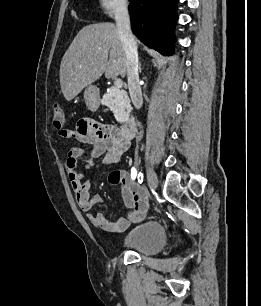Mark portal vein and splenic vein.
<instances>
[{"label": "portal vein and splenic vein", "instance_id": "portal-vein-and-splenic-vein-1", "mask_svg": "<svg viewBox=\"0 0 261 306\" xmlns=\"http://www.w3.org/2000/svg\"><path fill=\"white\" fill-rule=\"evenodd\" d=\"M123 86V81L121 79H115L114 81V87L116 88H122Z\"/></svg>", "mask_w": 261, "mask_h": 306}]
</instances>
